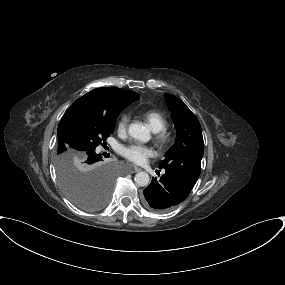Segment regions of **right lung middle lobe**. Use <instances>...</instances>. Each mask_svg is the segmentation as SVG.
<instances>
[{
  "instance_id": "right-lung-middle-lobe-1",
  "label": "right lung middle lobe",
  "mask_w": 285,
  "mask_h": 285,
  "mask_svg": "<svg viewBox=\"0 0 285 285\" xmlns=\"http://www.w3.org/2000/svg\"><path fill=\"white\" fill-rule=\"evenodd\" d=\"M138 99L139 96L117 101L109 115L80 109L62 117L55 168L63 192L77 207L94 211L109 202L115 175L101 161L97 166H88L87 158L113 133L121 111Z\"/></svg>"
}]
</instances>
